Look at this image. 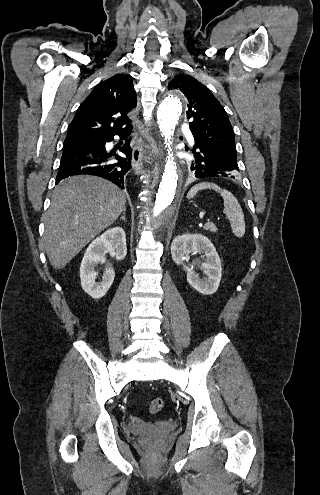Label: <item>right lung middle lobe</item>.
I'll list each match as a JSON object with an SVG mask.
<instances>
[{
    "mask_svg": "<svg viewBox=\"0 0 320 495\" xmlns=\"http://www.w3.org/2000/svg\"><path fill=\"white\" fill-rule=\"evenodd\" d=\"M98 139H84V140H77V141H66L64 144H82L86 142H94L97 141Z\"/></svg>",
    "mask_w": 320,
    "mask_h": 495,
    "instance_id": "1",
    "label": "right lung middle lobe"
}]
</instances>
